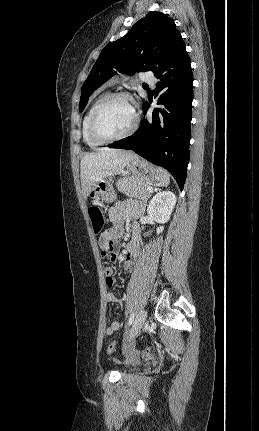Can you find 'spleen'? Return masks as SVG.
<instances>
[{
	"label": "spleen",
	"mask_w": 259,
	"mask_h": 431,
	"mask_svg": "<svg viewBox=\"0 0 259 431\" xmlns=\"http://www.w3.org/2000/svg\"><path fill=\"white\" fill-rule=\"evenodd\" d=\"M157 170H158V173L160 176V184L165 186V187L168 186L170 183L169 173L165 169L160 168V167Z\"/></svg>",
	"instance_id": "obj_1"
}]
</instances>
